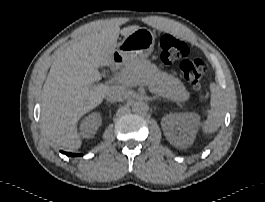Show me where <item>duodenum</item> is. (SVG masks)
<instances>
[{"instance_id": "duodenum-1", "label": "duodenum", "mask_w": 265, "mask_h": 202, "mask_svg": "<svg viewBox=\"0 0 265 202\" xmlns=\"http://www.w3.org/2000/svg\"><path fill=\"white\" fill-rule=\"evenodd\" d=\"M124 61V58L122 55L116 53L114 56H113V59H112V62L110 64V68H111V71L113 73L117 72L118 69L121 67L122 63Z\"/></svg>"}]
</instances>
